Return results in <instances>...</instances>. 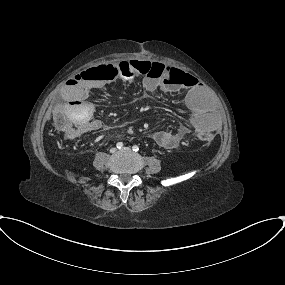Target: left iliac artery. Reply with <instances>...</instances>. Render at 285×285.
<instances>
[{"instance_id":"left-iliac-artery-1","label":"left iliac artery","mask_w":285,"mask_h":285,"mask_svg":"<svg viewBox=\"0 0 285 285\" xmlns=\"http://www.w3.org/2000/svg\"><path fill=\"white\" fill-rule=\"evenodd\" d=\"M132 150L135 151V152H137V151H139V147H138L137 145H134V146L132 147Z\"/></svg>"}]
</instances>
